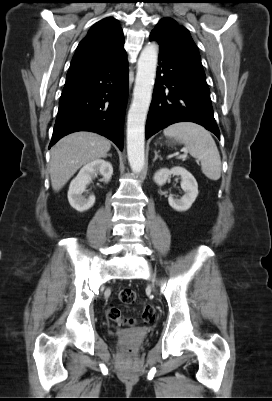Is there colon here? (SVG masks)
Listing matches in <instances>:
<instances>
[{
	"label": "colon",
	"mask_w": 272,
	"mask_h": 401,
	"mask_svg": "<svg viewBox=\"0 0 272 401\" xmlns=\"http://www.w3.org/2000/svg\"><path fill=\"white\" fill-rule=\"evenodd\" d=\"M119 299L124 304H133L137 300L136 293L132 289H123L119 292ZM143 314L142 323L145 325L152 324L155 321V308L149 303H142ZM109 318L118 325H135L134 319H126L122 316L120 310L116 307H111L108 311Z\"/></svg>",
	"instance_id": "colon-1"
}]
</instances>
